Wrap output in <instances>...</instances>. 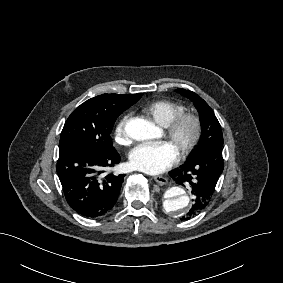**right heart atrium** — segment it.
I'll use <instances>...</instances> for the list:
<instances>
[{
	"label": "right heart atrium",
	"mask_w": 283,
	"mask_h": 283,
	"mask_svg": "<svg viewBox=\"0 0 283 283\" xmlns=\"http://www.w3.org/2000/svg\"><path fill=\"white\" fill-rule=\"evenodd\" d=\"M130 118V114H123L116 122L113 129L114 141L121 146H128L131 142L130 136L126 131V124Z\"/></svg>",
	"instance_id": "obj_1"
}]
</instances>
